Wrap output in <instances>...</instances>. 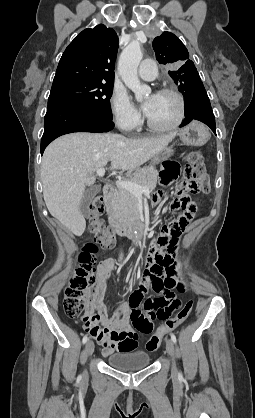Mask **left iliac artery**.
I'll return each mask as SVG.
<instances>
[{"instance_id": "44dca946", "label": "left iliac artery", "mask_w": 255, "mask_h": 418, "mask_svg": "<svg viewBox=\"0 0 255 418\" xmlns=\"http://www.w3.org/2000/svg\"><path fill=\"white\" fill-rule=\"evenodd\" d=\"M171 340L176 344L177 339H176V336L173 333L171 334ZM179 377H182V375L180 373H179Z\"/></svg>"}]
</instances>
